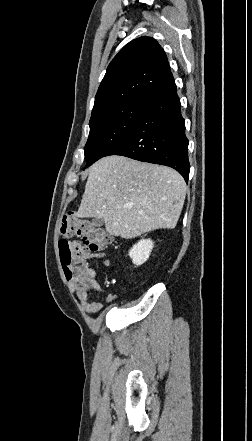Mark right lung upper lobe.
I'll use <instances>...</instances> for the list:
<instances>
[{
    "mask_svg": "<svg viewBox=\"0 0 252 441\" xmlns=\"http://www.w3.org/2000/svg\"><path fill=\"white\" fill-rule=\"evenodd\" d=\"M172 79L163 48L151 37L137 38L109 64L95 96L92 115L113 105L144 99Z\"/></svg>",
    "mask_w": 252,
    "mask_h": 441,
    "instance_id": "1",
    "label": "right lung upper lobe"
}]
</instances>
